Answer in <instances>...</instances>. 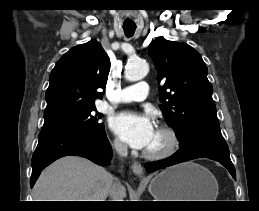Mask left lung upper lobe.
<instances>
[{
	"instance_id": "obj_1",
	"label": "left lung upper lobe",
	"mask_w": 259,
	"mask_h": 211,
	"mask_svg": "<svg viewBox=\"0 0 259 211\" xmlns=\"http://www.w3.org/2000/svg\"><path fill=\"white\" fill-rule=\"evenodd\" d=\"M157 71L160 108L180 148L200 137L224 140L212 99L213 88L201 55L186 43L158 37L149 45Z\"/></svg>"
}]
</instances>
